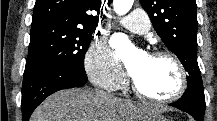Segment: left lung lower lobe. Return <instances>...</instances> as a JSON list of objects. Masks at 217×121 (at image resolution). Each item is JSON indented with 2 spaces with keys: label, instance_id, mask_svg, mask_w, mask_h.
Masks as SVG:
<instances>
[{
  "label": "left lung lower lobe",
  "instance_id": "obj_1",
  "mask_svg": "<svg viewBox=\"0 0 217 121\" xmlns=\"http://www.w3.org/2000/svg\"><path fill=\"white\" fill-rule=\"evenodd\" d=\"M169 105L189 113L196 121H203L204 119L205 99L203 100L193 86H188L183 96Z\"/></svg>",
  "mask_w": 217,
  "mask_h": 121
}]
</instances>
